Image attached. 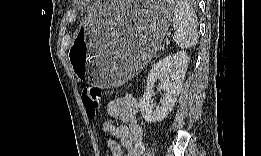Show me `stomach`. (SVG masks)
Returning a JSON list of instances; mask_svg holds the SVG:
<instances>
[{
	"label": "stomach",
	"instance_id": "obj_1",
	"mask_svg": "<svg viewBox=\"0 0 261 156\" xmlns=\"http://www.w3.org/2000/svg\"><path fill=\"white\" fill-rule=\"evenodd\" d=\"M171 16L166 2L100 3L79 28L69 54L77 77L100 88L130 80L155 56Z\"/></svg>",
	"mask_w": 261,
	"mask_h": 156
}]
</instances>
